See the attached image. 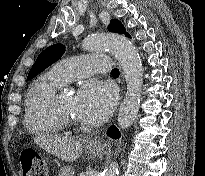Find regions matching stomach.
I'll use <instances>...</instances> for the list:
<instances>
[{
	"label": "stomach",
	"instance_id": "1",
	"mask_svg": "<svg viewBox=\"0 0 205 176\" xmlns=\"http://www.w3.org/2000/svg\"><path fill=\"white\" fill-rule=\"evenodd\" d=\"M88 153L96 155L99 154L103 150L102 145H89L87 144ZM73 168L71 166H67L63 168L60 172V176H73Z\"/></svg>",
	"mask_w": 205,
	"mask_h": 176
}]
</instances>
